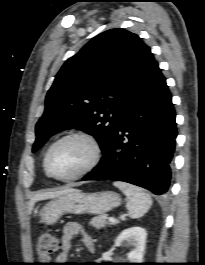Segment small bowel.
<instances>
[{"mask_svg":"<svg viewBox=\"0 0 205 265\" xmlns=\"http://www.w3.org/2000/svg\"><path fill=\"white\" fill-rule=\"evenodd\" d=\"M79 234H82V242L85 248L89 252L94 251V243H93L92 238L83 232L80 224L76 222H69L64 226L63 231H62V237H61L60 244H59L60 253L56 257V260H55L56 264L61 265V264H64V262H66L69 251L71 250V247H72V241Z\"/></svg>","mask_w":205,"mask_h":265,"instance_id":"1","label":"small bowel"}]
</instances>
